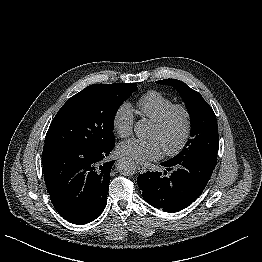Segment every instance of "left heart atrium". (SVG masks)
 Instances as JSON below:
<instances>
[{"mask_svg":"<svg viewBox=\"0 0 262 262\" xmlns=\"http://www.w3.org/2000/svg\"><path fill=\"white\" fill-rule=\"evenodd\" d=\"M118 151L139 162L157 160L164 152L162 145L155 138L148 140L132 138L123 141L118 145Z\"/></svg>","mask_w":262,"mask_h":262,"instance_id":"left-heart-atrium-1","label":"left heart atrium"}]
</instances>
